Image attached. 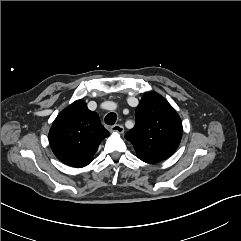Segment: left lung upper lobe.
<instances>
[{
	"instance_id": "obj_1",
	"label": "left lung upper lobe",
	"mask_w": 241,
	"mask_h": 241,
	"mask_svg": "<svg viewBox=\"0 0 241 241\" xmlns=\"http://www.w3.org/2000/svg\"><path fill=\"white\" fill-rule=\"evenodd\" d=\"M135 116L136 124L125 138L133 144L138 158L155 164L170 157L179 146L182 122L167 100L155 92L147 93Z\"/></svg>"
}]
</instances>
